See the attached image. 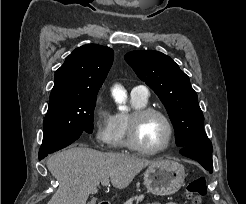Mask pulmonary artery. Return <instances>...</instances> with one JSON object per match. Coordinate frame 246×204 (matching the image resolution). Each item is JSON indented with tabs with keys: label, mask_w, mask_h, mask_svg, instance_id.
Instances as JSON below:
<instances>
[{
	"label": "pulmonary artery",
	"mask_w": 246,
	"mask_h": 204,
	"mask_svg": "<svg viewBox=\"0 0 246 204\" xmlns=\"http://www.w3.org/2000/svg\"><path fill=\"white\" fill-rule=\"evenodd\" d=\"M131 96L146 100L149 96L148 88L144 85L135 86L131 91Z\"/></svg>",
	"instance_id": "1"
}]
</instances>
